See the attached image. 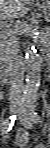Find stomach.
<instances>
[{"label":"stomach","instance_id":"obj_1","mask_svg":"<svg viewBox=\"0 0 50 148\" xmlns=\"http://www.w3.org/2000/svg\"><path fill=\"white\" fill-rule=\"evenodd\" d=\"M44 4L47 5V6L49 7V6H50V2H49V0H46V1L44 2Z\"/></svg>","mask_w":50,"mask_h":148}]
</instances>
